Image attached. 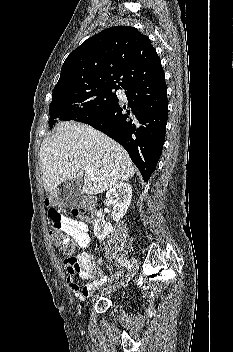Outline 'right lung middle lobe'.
I'll use <instances>...</instances> for the list:
<instances>
[{
  "instance_id": "right-lung-middle-lobe-1",
  "label": "right lung middle lobe",
  "mask_w": 233,
  "mask_h": 352,
  "mask_svg": "<svg viewBox=\"0 0 233 352\" xmlns=\"http://www.w3.org/2000/svg\"><path fill=\"white\" fill-rule=\"evenodd\" d=\"M120 88L115 85H96L53 93L49 105V127L52 128L61 120L78 121L104 110L118 101L114 90Z\"/></svg>"
}]
</instances>
